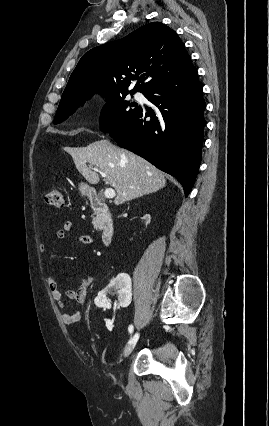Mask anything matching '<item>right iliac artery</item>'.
Listing matches in <instances>:
<instances>
[{"instance_id":"1","label":"right iliac artery","mask_w":269,"mask_h":426,"mask_svg":"<svg viewBox=\"0 0 269 426\" xmlns=\"http://www.w3.org/2000/svg\"><path fill=\"white\" fill-rule=\"evenodd\" d=\"M133 330H134L133 325H129L128 331L130 334H132Z\"/></svg>"}]
</instances>
